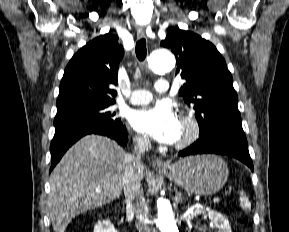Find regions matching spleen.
Wrapping results in <instances>:
<instances>
[{
  "mask_svg": "<svg viewBox=\"0 0 289 232\" xmlns=\"http://www.w3.org/2000/svg\"><path fill=\"white\" fill-rule=\"evenodd\" d=\"M240 205L244 210L250 211L251 203L243 190L240 191Z\"/></svg>",
  "mask_w": 289,
  "mask_h": 232,
  "instance_id": "obj_1",
  "label": "spleen"
}]
</instances>
